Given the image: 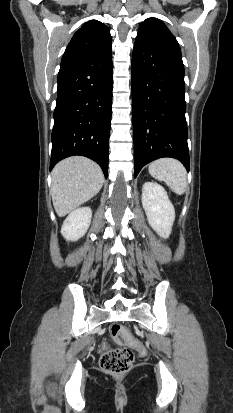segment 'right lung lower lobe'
Listing matches in <instances>:
<instances>
[{
    "mask_svg": "<svg viewBox=\"0 0 233 413\" xmlns=\"http://www.w3.org/2000/svg\"><path fill=\"white\" fill-rule=\"evenodd\" d=\"M112 84V46L61 62L50 170L66 157L82 155L97 162L107 178Z\"/></svg>",
    "mask_w": 233,
    "mask_h": 413,
    "instance_id": "98d812e1",
    "label": "right lung lower lobe"
}]
</instances>
